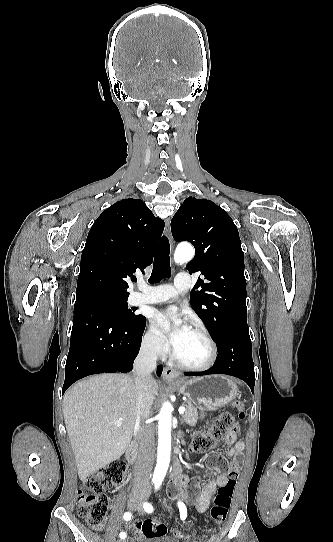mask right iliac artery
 Masks as SVG:
<instances>
[{
	"mask_svg": "<svg viewBox=\"0 0 333 542\" xmlns=\"http://www.w3.org/2000/svg\"><path fill=\"white\" fill-rule=\"evenodd\" d=\"M131 517H132V515H131V513H129V512H126V513L124 514V516H123V518H124L126 521L130 520ZM125 537H126V533L121 532V533H120V538L124 539Z\"/></svg>",
	"mask_w": 333,
	"mask_h": 542,
	"instance_id": "obj_1",
	"label": "right iliac artery"
}]
</instances>
